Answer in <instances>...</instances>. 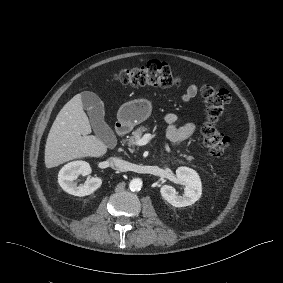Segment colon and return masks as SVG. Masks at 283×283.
I'll use <instances>...</instances> for the list:
<instances>
[{
	"label": "colon",
	"instance_id": "colon-1",
	"mask_svg": "<svg viewBox=\"0 0 283 283\" xmlns=\"http://www.w3.org/2000/svg\"><path fill=\"white\" fill-rule=\"evenodd\" d=\"M114 79L123 85L164 88L177 86L180 82L168 64L157 60L121 70ZM201 94L206 104V121L201 128L203 144L212 156L225 160L229 138L218 129L217 123L226 112L231 95L226 89L213 84L204 85Z\"/></svg>",
	"mask_w": 283,
	"mask_h": 283
}]
</instances>
